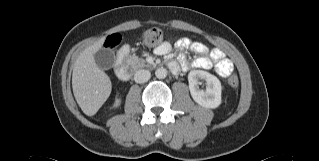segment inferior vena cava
I'll list each match as a JSON object with an SVG mask.
<instances>
[{"label":"inferior vena cava","mask_w":319,"mask_h":161,"mask_svg":"<svg viewBox=\"0 0 319 161\" xmlns=\"http://www.w3.org/2000/svg\"><path fill=\"white\" fill-rule=\"evenodd\" d=\"M150 72L145 69L138 70L134 75V80L136 83H144L150 79Z\"/></svg>","instance_id":"obj_1"}]
</instances>
